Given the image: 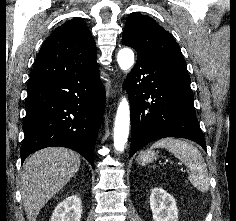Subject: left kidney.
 Returning a JSON list of instances; mask_svg holds the SVG:
<instances>
[{
  "mask_svg": "<svg viewBox=\"0 0 236 221\" xmlns=\"http://www.w3.org/2000/svg\"><path fill=\"white\" fill-rule=\"evenodd\" d=\"M150 208L154 221H178L176 201L162 188H153L150 195Z\"/></svg>",
  "mask_w": 236,
  "mask_h": 221,
  "instance_id": "left-kidney-1",
  "label": "left kidney"
}]
</instances>
